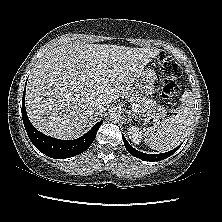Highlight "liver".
Listing matches in <instances>:
<instances>
[{"label":"liver","instance_id":"liver-1","mask_svg":"<svg viewBox=\"0 0 222 222\" xmlns=\"http://www.w3.org/2000/svg\"><path fill=\"white\" fill-rule=\"evenodd\" d=\"M156 48L71 43L48 51L32 70L26 110L33 126L51 137L75 139L89 126L96 105L125 95ZM102 77L104 80L98 81Z\"/></svg>","mask_w":222,"mask_h":222}]
</instances>
